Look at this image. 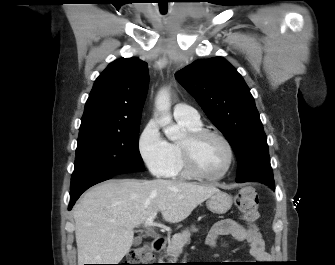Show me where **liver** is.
<instances>
[{"label":"liver","instance_id":"obj_1","mask_svg":"<svg viewBox=\"0 0 335 265\" xmlns=\"http://www.w3.org/2000/svg\"><path fill=\"white\" fill-rule=\"evenodd\" d=\"M212 185L175 180L112 179L89 191L73 208L78 265L118 264L130 251L134 228L161 211L178 223L214 193Z\"/></svg>","mask_w":335,"mask_h":265}]
</instances>
